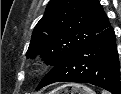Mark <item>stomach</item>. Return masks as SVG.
Masks as SVG:
<instances>
[{
  "mask_svg": "<svg viewBox=\"0 0 121 94\" xmlns=\"http://www.w3.org/2000/svg\"><path fill=\"white\" fill-rule=\"evenodd\" d=\"M49 94H95L90 88L80 84H64Z\"/></svg>",
  "mask_w": 121,
  "mask_h": 94,
  "instance_id": "stomach-1",
  "label": "stomach"
}]
</instances>
